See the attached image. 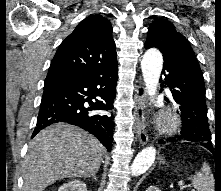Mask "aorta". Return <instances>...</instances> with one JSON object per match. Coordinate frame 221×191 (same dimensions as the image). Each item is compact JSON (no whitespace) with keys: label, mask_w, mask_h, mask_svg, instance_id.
<instances>
[{"label":"aorta","mask_w":221,"mask_h":191,"mask_svg":"<svg viewBox=\"0 0 221 191\" xmlns=\"http://www.w3.org/2000/svg\"><path fill=\"white\" fill-rule=\"evenodd\" d=\"M163 67V56L158 49H148L142 58L141 69L147 94L151 97L156 95L159 77ZM156 156V149L152 146L141 150L131 165L133 176L145 173L153 164Z\"/></svg>","instance_id":"obj_1"}]
</instances>
